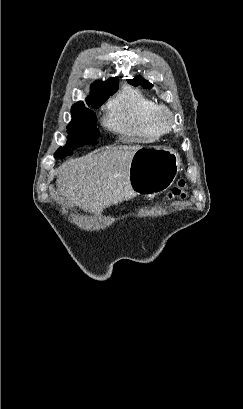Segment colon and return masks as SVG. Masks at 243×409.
<instances>
[{
  "label": "colon",
  "instance_id": "colon-1",
  "mask_svg": "<svg viewBox=\"0 0 243 409\" xmlns=\"http://www.w3.org/2000/svg\"><path fill=\"white\" fill-rule=\"evenodd\" d=\"M187 184L184 180H179L168 194L169 199H183L187 194Z\"/></svg>",
  "mask_w": 243,
  "mask_h": 409
}]
</instances>
